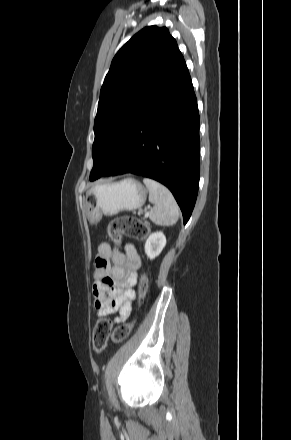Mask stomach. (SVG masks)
Here are the masks:
<instances>
[{
	"mask_svg": "<svg viewBox=\"0 0 291 440\" xmlns=\"http://www.w3.org/2000/svg\"><path fill=\"white\" fill-rule=\"evenodd\" d=\"M146 197V188L133 178L97 184L86 192L85 213L90 223H96L103 214L112 216L121 211L140 208L145 203Z\"/></svg>",
	"mask_w": 291,
	"mask_h": 440,
	"instance_id": "obj_1",
	"label": "stomach"
}]
</instances>
